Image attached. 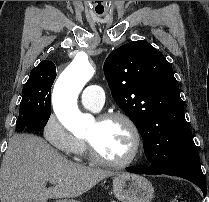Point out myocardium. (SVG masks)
<instances>
[{
    "label": "myocardium",
    "mask_w": 209,
    "mask_h": 202,
    "mask_svg": "<svg viewBox=\"0 0 209 202\" xmlns=\"http://www.w3.org/2000/svg\"><path fill=\"white\" fill-rule=\"evenodd\" d=\"M98 123L105 124L111 121H121L125 123L133 136V148L130 153V155L122 160V161H111L107 158H105L96 148L92 140L85 138V143L87 145V150L90 158L97 164L113 168V169H124L133 163H135L142 151V137L140 130L136 123L126 114L121 112H112L108 114L101 115L97 118Z\"/></svg>",
    "instance_id": "1"
}]
</instances>
